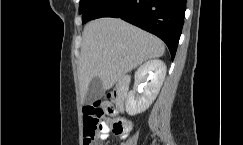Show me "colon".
<instances>
[{
    "mask_svg": "<svg viewBox=\"0 0 243 145\" xmlns=\"http://www.w3.org/2000/svg\"><path fill=\"white\" fill-rule=\"evenodd\" d=\"M114 109L110 105H103L101 101H96L87 105L83 109V144L99 145L97 135L101 130L102 119L107 114H113ZM128 128V123L124 119H115L111 123L112 131L120 135Z\"/></svg>",
    "mask_w": 243,
    "mask_h": 145,
    "instance_id": "colon-1",
    "label": "colon"
}]
</instances>
